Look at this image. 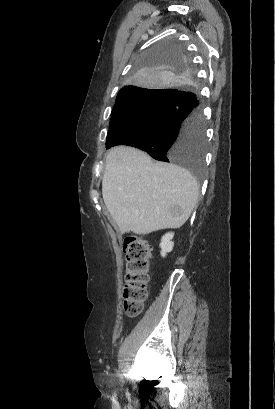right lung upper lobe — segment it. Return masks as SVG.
I'll return each instance as SVG.
<instances>
[{
  "label": "right lung upper lobe",
  "instance_id": "obj_1",
  "mask_svg": "<svg viewBox=\"0 0 275 409\" xmlns=\"http://www.w3.org/2000/svg\"><path fill=\"white\" fill-rule=\"evenodd\" d=\"M148 91H154V90H135L134 86H125L119 91L115 104H118L120 101H122L123 99H125L126 97L132 94L148 92Z\"/></svg>",
  "mask_w": 275,
  "mask_h": 409
}]
</instances>
